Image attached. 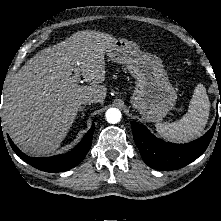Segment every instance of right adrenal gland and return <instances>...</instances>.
<instances>
[{"label":"right adrenal gland","mask_w":221,"mask_h":221,"mask_svg":"<svg viewBox=\"0 0 221 221\" xmlns=\"http://www.w3.org/2000/svg\"><path fill=\"white\" fill-rule=\"evenodd\" d=\"M84 109H85L84 106H81L79 109L81 111V118H84V116H85Z\"/></svg>","instance_id":"right-adrenal-gland-1"}]
</instances>
